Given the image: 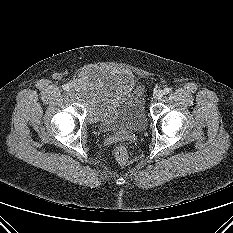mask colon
Masks as SVG:
<instances>
[{"instance_id": "colon-1", "label": "colon", "mask_w": 233, "mask_h": 233, "mask_svg": "<svg viewBox=\"0 0 233 233\" xmlns=\"http://www.w3.org/2000/svg\"><path fill=\"white\" fill-rule=\"evenodd\" d=\"M114 156L117 162L121 165H126L129 161L128 150L123 145H118L114 150Z\"/></svg>"}]
</instances>
